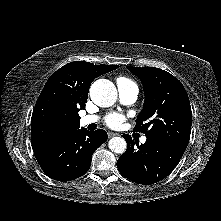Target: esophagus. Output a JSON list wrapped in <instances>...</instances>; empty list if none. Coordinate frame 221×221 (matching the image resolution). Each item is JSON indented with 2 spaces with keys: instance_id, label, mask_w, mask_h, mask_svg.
<instances>
[{
  "instance_id": "esophagus-1",
  "label": "esophagus",
  "mask_w": 221,
  "mask_h": 221,
  "mask_svg": "<svg viewBox=\"0 0 221 221\" xmlns=\"http://www.w3.org/2000/svg\"><path fill=\"white\" fill-rule=\"evenodd\" d=\"M119 135L118 133H115V132H108V137L111 138V137H114V136H117Z\"/></svg>"
}]
</instances>
